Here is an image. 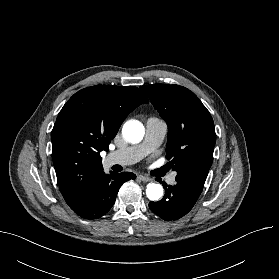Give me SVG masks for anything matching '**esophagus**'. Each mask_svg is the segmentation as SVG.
Segmentation results:
<instances>
[{
    "label": "esophagus",
    "instance_id": "34e87169",
    "mask_svg": "<svg viewBox=\"0 0 279 279\" xmlns=\"http://www.w3.org/2000/svg\"><path fill=\"white\" fill-rule=\"evenodd\" d=\"M138 178L141 181H143V182H150V181H152V179L150 177H147V176H139Z\"/></svg>",
    "mask_w": 279,
    "mask_h": 279
}]
</instances>
